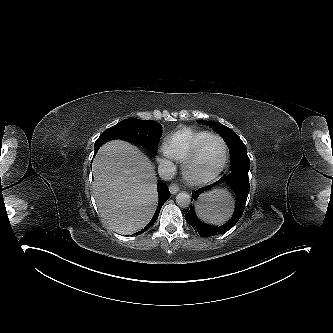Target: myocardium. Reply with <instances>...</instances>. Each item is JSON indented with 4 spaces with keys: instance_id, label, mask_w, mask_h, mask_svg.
<instances>
[{
    "instance_id": "obj_1",
    "label": "myocardium",
    "mask_w": 333,
    "mask_h": 333,
    "mask_svg": "<svg viewBox=\"0 0 333 333\" xmlns=\"http://www.w3.org/2000/svg\"><path fill=\"white\" fill-rule=\"evenodd\" d=\"M211 139H218L224 146V156L219 167L207 176H196L191 171L192 163L198 158L204 145ZM229 158V147L225 139L219 135L210 134L195 145L182 164V172L188 182L194 185H204L215 180L224 170Z\"/></svg>"
}]
</instances>
